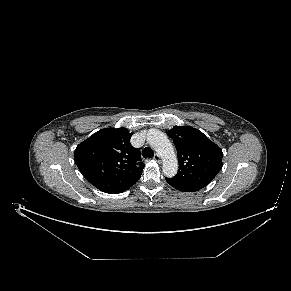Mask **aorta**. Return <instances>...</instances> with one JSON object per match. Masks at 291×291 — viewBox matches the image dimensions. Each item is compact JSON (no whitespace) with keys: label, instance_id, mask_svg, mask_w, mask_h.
Wrapping results in <instances>:
<instances>
[{"label":"aorta","instance_id":"1","mask_svg":"<svg viewBox=\"0 0 291 291\" xmlns=\"http://www.w3.org/2000/svg\"><path fill=\"white\" fill-rule=\"evenodd\" d=\"M147 142L162 158L164 175L169 178L174 177L178 170V160L168 137L157 129H149Z\"/></svg>","mask_w":291,"mask_h":291}]
</instances>
